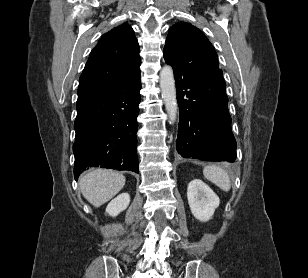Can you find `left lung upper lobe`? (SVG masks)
I'll use <instances>...</instances> for the list:
<instances>
[{
	"label": "left lung upper lobe",
	"mask_w": 308,
	"mask_h": 278,
	"mask_svg": "<svg viewBox=\"0 0 308 278\" xmlns=\"http://www.w3.org/2000/svg\"><path fill=\"white\" fill-rule=\"evenodd\" d=\"M163 53L174 76L189 78L219 69L212 44L202 31L187 22H178L169 29Z\"/></svg>",
	"instance_id": "obj_1"
}]
</instances>
